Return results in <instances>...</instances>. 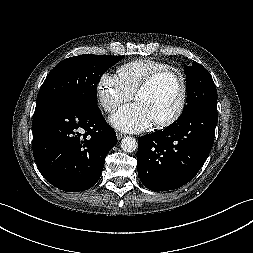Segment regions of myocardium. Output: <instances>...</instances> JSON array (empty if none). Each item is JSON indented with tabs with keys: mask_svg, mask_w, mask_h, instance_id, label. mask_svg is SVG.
Masks as SVG:
<instances>
[{
	"mask_svg": "<svg viewBox=\"0 0 253 253\" xmlns=\"http://www.w3.org/2000/svg\"><path fill=\"white\" fill-rule=\"evenodd\" d=\"M165 77H172L176 81L178 85V89H179V101H178L176 110L171 115H169L168 117L162 120H158L154 122V125L158 128H166L173 125L183 115L186 109L187 100H188V87H187L186 76L181 70L177 68H171V67L164 68V69L151 73L140 84V86L135 92V97H136L138 94L145 92L149 89H152L159 80Z\"/></svg>",
	"mask_w": 253,
	"mask_h": 253,
	"instance_id": "obj_1",
	"label": "myocardium"
}]
</instances>
